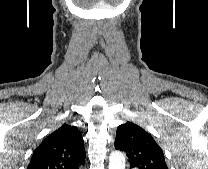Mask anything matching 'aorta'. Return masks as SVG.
<instances>
[{"label": "aorta", "instance_id": "1", "mask_svg": "<svg viewBox=\"0 0 208 169\" xmlns=\"http://www.w3.org/2000/svg\"><path fill=\"white\" fill-rule=\"evenodd\" d=\"M109 169H125V156L122 152H113L110 155Z\"/></svg>", "mask_w": 208, "mask_h": 169}]
</instances>
